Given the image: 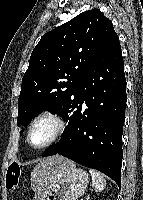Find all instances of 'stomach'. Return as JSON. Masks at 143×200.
I'll return each mask as SVG.
<instances>
[{"label":"stomach","mask_w":143,"mask_h":200,"mask_svg":"<svg viewBox=\"0 0 143 200\" xmlns=\"http://www.w3.org/2000/svg\"><path fill=\"white\" fill-rule=\"evenodd\" d=\"M88 173L68 164L55 172L49 180L41 200H77L87 189Z\"/></svg>","instance_id":"stomach-1"}]
</instances>
